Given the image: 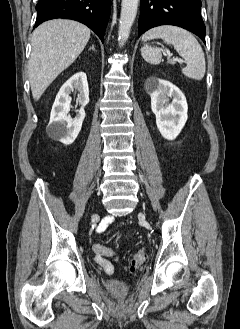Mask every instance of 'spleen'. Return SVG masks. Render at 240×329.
<instances>
[{
	"label": "spleen",
	"mask_w": 240,
	"mask_h": 329,
	"mask_svg": "<svg viewBox=\"0 0 240 329\" xmlns=\"http://www.w3.org/2000/svg\"><path fill=\"white\" fill-rule=\"evenodd\" d=\"M161 38L167 44H172L174 49L185 60L186 67L182 73L191 79L201 80L206 71V62L202 47L197 39L185 29L180 27L164 25L147 31L142 40ZM141 55L150 64L156 65L161 62L162 53L157 48L143 46Z\"/></svg>",
	"instance_id": "spleen-1"
}]
</instances>
